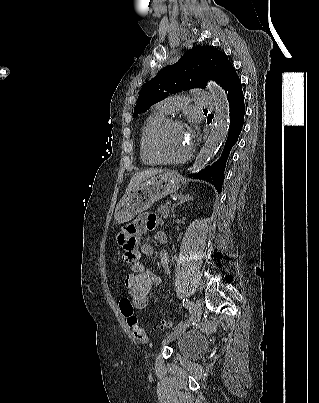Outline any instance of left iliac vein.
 <instances>
[{
    "label": "left iliac vein",
    "instance_id": "obj_1",
    "mask_svg": "<svg viewBox=\"0 0 319 403\" xmlns=\"http://www.w3.org/2000/svg\"><path fill=\"white\" fill-rule=\"evenodd\" d=\"M191 310H192V314H191V319L188 321V324L185 328L191 326V324L195 321H197L201 315V311H202V306H201V302L199 300L193 301L190 304ZM182 332H176L174 334H171L167 337L164 338L163 340V344L169 343L174 341L177 337H179V335H181Z\"/></svg>",
    "mask_w": 319,
    "mask_h": 403
}]
</instances>
